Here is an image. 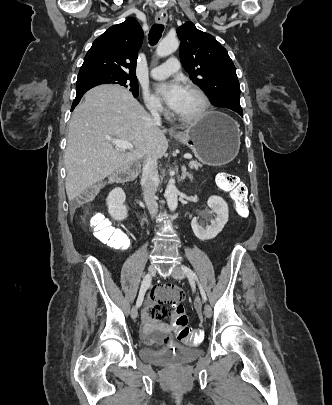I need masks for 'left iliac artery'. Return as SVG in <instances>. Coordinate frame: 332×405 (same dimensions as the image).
Wrapping results in <instances>:
<instances>
[{
    "instance_id": "1",
    "label": "left iliac artery",
    "mask_w": 332,
    "mask_h": 405,
    "mask_svg": "<svg viewBox=\"0 0 332 405\" xmlns=\"http://www.w3.org/2000/svg\"><path fill=\"white\" fill-rule=\"evenodd\" d=\"M181 268H182V270L184 271V273L187 275V277H188V279H189L190 281H194V280H195V281L198 283V286H199V289H200V293H201L202 299H203L204 301H206V300H207V297H206L205 290H204V288L202 287V285L200 284V282H199V280H198V278H197L195 272H194L192 269H190L189 267L185 266V265H182Z\"/></svg>"
}]
</instances>
